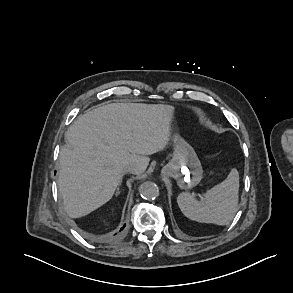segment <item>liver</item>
Returning <instances> with one entry per match:
<instances>
[{"mask_svg": "<svg viewBox=\"0 0 293 293\" xmlns=\"http://www.w3.org/2000/svg\"><path fill=\"white\" fill-rule=\"evenodd\" d=\"M174 108L169 105L112 103L79 116L65 133L59 155V192L71 218L107 203L129 166L142 174L151 154L169 142Z\"/></svg>", "mask_w": 293, "mask_h": 293, "instance_id": "6515ba94", "label": "liver"}]
</instances>
